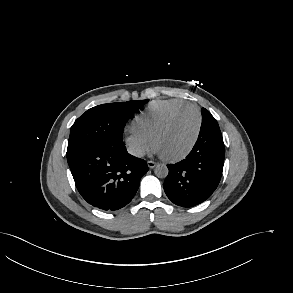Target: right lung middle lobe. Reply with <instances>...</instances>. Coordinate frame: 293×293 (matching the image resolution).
Returning a JSON list of instances; mask_svg holds the SVG:
<instances>
[{
    "label": "right lung middle lobe",
    "instance_id": "dd1d6c3e",
    "mask_svg": "<svg viewBox=\"0 0 293 293\" xmlns=\"http://www.w3.org/2000/svg\"><path fill=\"white\" fill-rule=\"evenodd\" d=\"M148 100L102 104L76 119L70 130L67 158L93 145L123 141V129L139 107Z\"/></svg>",
    "mask_w": 293,
    "mask_h": 293
}]
</instances>
